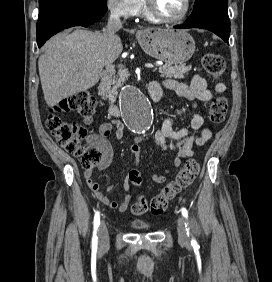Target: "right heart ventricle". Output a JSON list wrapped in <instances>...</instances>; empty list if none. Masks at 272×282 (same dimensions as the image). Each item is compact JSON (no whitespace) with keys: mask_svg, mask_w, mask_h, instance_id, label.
I'll return each mask as SVG.
<instances>
[{"mask_svg":"<svg viewBox=\"0 0 272 282\" xmlns=\"http://www.w3.org/2000/svg\"><path fill=\"white\" fill-rule=\"evenodd\" d=\"M145 17L148 19V20H152V17L149 16L147 13H144Z\"/></svg>","mask_w":272,"mask_h":282,"instance_id":"e07e8e85","label":"right heart ventricle"}]
</instances>
